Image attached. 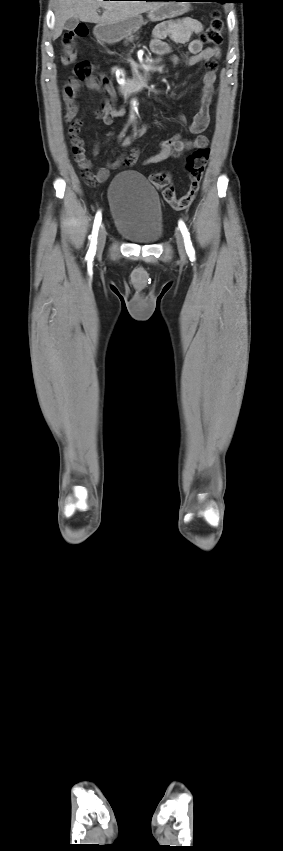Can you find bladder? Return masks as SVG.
Instances as JSON below:
<instances>
[{
  "label": "bladder",
  "instance_id": "1",
  "mask_svg": "<svg viewBox=\"0 0 283 851\" xmlns=\"http://www.w3.org/2000/svg\"><path fill=\"white\" fill-rule=\"evenodd\" d=\"M117 232L138 244H154L163 235V213L155 188L140 174H118L108 189Z\"/></svg>",
  "mask_w": 283,
  "mask_h": 851
}]
</instances>
